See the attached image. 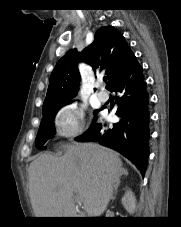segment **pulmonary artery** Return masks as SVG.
<instances>
[{"instance_id":"1","label":"pulmonary artery","mask_w":181,"mask_h":227,"mask_svg":"<svg viewBox=\"0 0 181 227\" xmlns=\"http://www.w3.org/2000/svg\"><path fill=\"white\" fill-rule=\"evenodd\" d=\"M97 96L101 102H107L109 100V94L104 90L99 91Z\"/></svg>"}]
</instances>
